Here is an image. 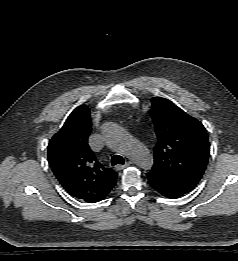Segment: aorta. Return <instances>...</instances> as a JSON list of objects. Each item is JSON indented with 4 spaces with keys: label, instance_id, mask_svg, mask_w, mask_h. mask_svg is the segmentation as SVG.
Returning a JSON list of instances; mask_svg holds the SVG:
<instances>
[{
    "label": "aorta",
    "instance_id": "762f6f07",
    "mask_svg": "<svg viewBox=\"0 0 238 261\" xmlns=\"http://www.w3.org/2000/svg\"><path fill=\"white\" fill-rule=\"evenodd\" d=\"M106 138L122 154L131 158L139 167L149 170L153 165V157L140 142L131 138L122 128L109 124L105 130Z\"/></svg>",
    "mask_w": 238,
    "mask_h": 261
}]
</instances>
